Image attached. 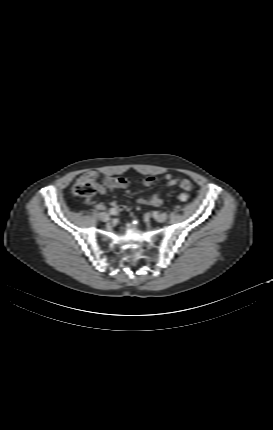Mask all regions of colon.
I'll use <instances>...</instances> for the list:
<instances>
[{"label":"colon","instance_id":"1","mask_svg":"<svg viewBox=\"0 0 273 430\" xmlns=\"http://www.w3.org/2000/svg\"><path fill=\"white\" fill-rule=\"evenodd\" d=\"M182 189L186 192L192 190L193 186L190 181H184L181 185ZM72 192L78 197H92L98 192V184L95 177L91 173L81 175L74 183ZM186 199V195H184ZM179 199H183V195L179 196Z\"/></svg>","mask_w":273,"mask_h":430}]
</instances>
